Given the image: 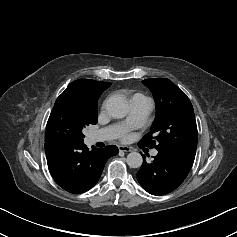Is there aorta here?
<instances>
[{
	"instance_id": "762f6f07",
	"label": "aorta",
	"mask_w": 237,
	"mask_h": 237,
	"mask_svg": "<svg viewBox=\"0 0 237 237\" xmlns=\"http://www.w3.org/2000/svg\"><path fill=\"white\" fill-rule=\"evenodd\" d=\"M106 109L112 117L117 119L124 118L128 113L126 102L118 96L108 98L106 101ZM126 162L131 168H139L143 163V158L140 153L131 152L127 155Z\"/></svg>"
}]
</instances>
